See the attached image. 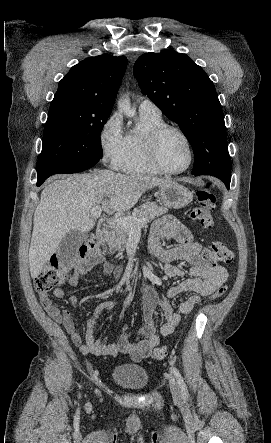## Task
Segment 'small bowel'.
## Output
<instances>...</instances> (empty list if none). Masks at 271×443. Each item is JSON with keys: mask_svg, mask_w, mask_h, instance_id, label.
Masks as SVG:
<instances>
[{"mask_svg": "<svg viewBox=\"0 0 271 443\" xmlns=\"http://www.w3.org/2000/svg\"><path fill=\"white\" fill-rule=\"evenodd\" d=\"M170 239L176 240L179 245L170 249H163L162 240ZM149 252L151 256L159 259L164 264V273L168 278H182L185 275L183 269L174 264L175 261H184L189 265V278L171 287L167 293L169 298L182 293H189V296L175 310L168 300H160L153 289L145 287L143 297L144 323L138 330L139 339L136 342L130 341L126 330H123L118 340L113 343H104L96 338L95 331L99 316L105 311L113 310L117 304L115 301H106L97 307L94 316L86 322L85 338L83 340L75 330L69 311L60 309L55 305L48 294H40V302L47 314L63 325L72 342L82 353L107 356L123 354L136 362L142 360L149 356L159 344L160 337L169 336L174 332L181 321V317L189 314L201 297L211 295L228 278V273L223 267L210 263L202 255V246L194 240L190 230L171 215L164 216L155 222L149 238ZM93 267V263H88L79 268L69 279V285L76 286L79 277L91 273ZM102 273L104 275L112 274L117 280H120L122 270L110 262H105L102 266ZM54 296L57 298L63 297V289H55ZM70 303L75 307L79 305L77 298L74 296L70 298ZM157 307L162 309L164 315V322L158 330L153 318Z\"/></svg>", "mask_w": 271, "mask_h": 443, "instance_id": "c3829d8e", "label": "small bowel"}]
</instances>
